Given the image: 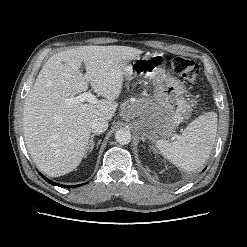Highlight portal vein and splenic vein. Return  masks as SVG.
I'll use <instances>...</instances> for the list:
<instances>
[{
	"label": "portal vein and splenic vein",
	"mask_w": 247,
	"mask_h": 247,
	"mask_svg": "<svg viewBox=\"0 0 247 247\" xmlns=\"http://www.w3.org/2000/svg\"><path fill=\"white\" fill-rule=\"evenodd\" d=\"M84 101H87L89 103H93L94 104V103L97 102V99L90 92H84V93L78 95L77 97H70V98L66 99V103L68 105L78 104V103H82Z\"/></svg>",
	"instance_id": "obj_1"
}]
</instances>
